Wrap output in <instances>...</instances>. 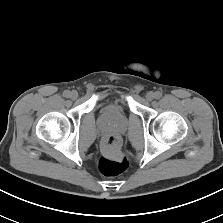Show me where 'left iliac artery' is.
<instances>
[{
	"mask_svg": "<svg viewBox=\"0 0 223 223\" xmlns=\"http://www.w3.org/2000/svg\"><path fill=\"white\" fill-rule=\"evenodd\" d=\"M154 95H155V98H156V99H159V98H161L162 93H161L160 91H156V92L154 93Z\"/></svg>",
	"mask_w": 223,
	"mask_h": 223,
	"instance_id": "obj_1",
	"label": "left iliac artery"
}]
</instances>
